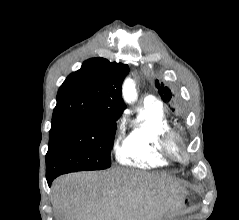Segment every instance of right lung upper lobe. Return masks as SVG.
Returning a JSON list of instances; mask_svg holds the SVG:
<instances>
[{
    "label": "right lung upper lobe",
    "mask_w": 239,
    "mask_h": 220,
    "mask_svg": "<svg viewBox=\"0 0 239 220\" xmlns=\"http://www.w3.org/2000/svg\"><path fill=\"white\" fill-rule=\"evenodd\" d=\"M128 65L104 58L85 61L60 86L53 119L121 116L126 105L121 95Z\"/></svg>",
    "instance_id": "1"
}]
</instances>
